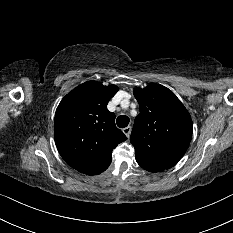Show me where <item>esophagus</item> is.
Masks as SVG:
<instances>
[{
	"label": "esophagus",
	"mask_w": 233,
	"mask_h": 233,
	"mask_svg": "<svg viewBox=\"0 0 233 233\" xmlns=\"http://www.w3.org/2000/svg\"><path fill=\"white\" fill-rule=\"evenodd\" d=\"M123 133L129 138L130 133H131V127H130V126L125 127V128L123 129Z\"/></svg>",
	"instance_id": "34e87169"
}]
</instances>
